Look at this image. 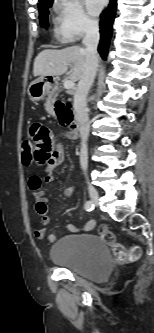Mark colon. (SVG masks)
I'll list each match as a JSON object with an SVG mask.
<instances>
[{
    "mask_svg": "<svg viewBox=\"0 0 154 333\" xmlns=\"http://www.w3.org/2000/svg\"><path fill=\"white\" fill-rule=\"evenodd\" d=\"M56 113L60 118L61 123L66 126L71 120V109L62 102L56 104ZM22 161L28 165L34 161L33 142L31 138H26L22 142ZM99 237L110 247L116 261L127 263L136 260L141 254V249L138 246H133L129 249L125 248L115 237L114 233L106 227L99 229Z\"/></svg>",
    "mask_w": 154,
    "mask_h": 333,
    "instance_id": "colon-1",
    "label": "colon"
}]
</instances>
